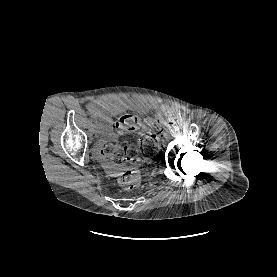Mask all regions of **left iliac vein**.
Instances as JSON below:
<instances>
[{"label":"left iliac vein","instance_id":"obj_1","mask_svg":"<svg viewBox=\"0 0 277 277\" xmlns=\"http://www.w3.org/2000/svg\"><path fill=\"white\" fill-rule=\"evenodd\" d=\"M175 135H176V131L174 129H171L169 131V137H175Z\"/></svg>","mask_w":277,"mask_h":277}]
</instances>
